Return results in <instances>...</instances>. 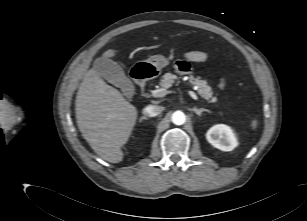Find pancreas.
Instances as JSON below:
<instances>
[{
  "instance_id": "obj_1",
  "label": "pancreas",
  "mask_w": 307,
  "mask_h": 221,
  "mask_svg": "<svg viewBox=\"0 0 307 221\" xmlns=\"http://www.w3.org/2000/svg\"><path fill=\"white\" fill-rule=\"evenodd\" d=\"M177 80L178 77L175 74L168 72L162 76L160 86L165 89L170 88L175 82H179ZM189 82L197 87L198 94L205 100H208L210 103H215L217 101V97L213 95L212 88L208 85L207 81L202 80L199 76H191Z\"/></svg>"
}]
</instances>
